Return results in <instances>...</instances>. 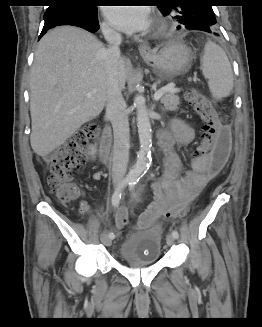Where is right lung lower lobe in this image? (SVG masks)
Masks as SVG:
<instances>
[{
  "label": "right lung lower lobe",
  "instance_id": "98d812e1",
  "mask_svg": "<svg viewBox=\"0 0 262 327\" xmlns=\"http://www.w3.org/2000/svg\"><path fill=\"white\" fill-rule=\"evenodd\" d=\"M61 25H72L96 32L99 29L97 7L84 9L70 3L49 6L44 14V27L39 39L49 29Z\"/></svg>",
  "mask_w": 262,
  "mask_h": 327
}]
</instances>
